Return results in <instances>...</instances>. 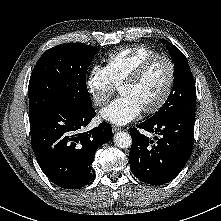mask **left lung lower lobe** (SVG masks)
I'll return each instance as SVG.
<instances>
[{
  "label": "left lung lower lobe",
  "instance_id": "1",
  "mask_svg": "<svg viewBox=\"0 0 221 221\" xmlns=\"http://www.w3.org/2000/svg\"><path fill=\"white\" fill-rule=\"evenodd\" d=\"M194 121L195 116L182 113L160 121L146 120L137 126L158 134L156 142L132 128L129 162L134 176L152 185L174 179L191 156Z\"/></svg>",
  "mask_w": 221,
  "mask_h": 221
}]
</instances>
